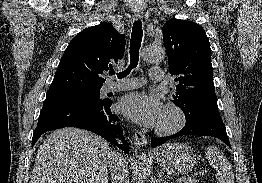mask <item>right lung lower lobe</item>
<instances>
[{"label": "right lung lower lobe", "instance_id": "obj_1", "mask_svg": "<svg viewBox=\"0 0 262 183\" xmlns=\"http://www.w3.org/2000/svg\"><path fill=\"white\" fill-rule=\"evenodd\" d=\"M112 101H86L80 99L46 98L41 110L38 125L33 133L32 147L45 132L63 128L77 127L92 131L126 153L129 145L119 118L111 112Z\"/></svg>", "mask_w": 262, "mask_h": 183}]
</instances>
